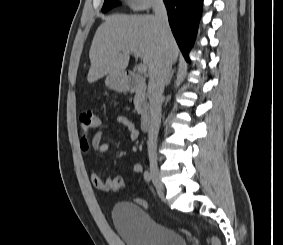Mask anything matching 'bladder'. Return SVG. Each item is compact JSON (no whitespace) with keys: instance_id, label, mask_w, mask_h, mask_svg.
<instances>
[{"instance_id":"bladder-1","label":"bladder","mask_w":283,"mask_h":245,"mask_svg":"<svg viewBox=\"0 0 283 245\" xmlns=\"http://www.w3.org/2000/svg\"><path fill=\"white\" fill-rule=\"evenodd\" d=\"M112 221L125 245H187L180 233L156 222L143 207L132 202H117Z\"/></svg>"}]
</instances>
